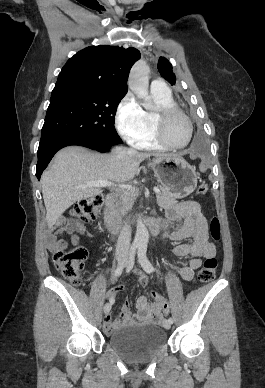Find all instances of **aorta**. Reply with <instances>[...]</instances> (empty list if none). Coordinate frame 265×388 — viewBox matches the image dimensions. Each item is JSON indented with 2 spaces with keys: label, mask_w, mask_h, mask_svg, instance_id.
Here are the masks:
<instances>
[{
  "label": "aorta",
  "mask_w": 265,
  "mask_h": 388,
  "mask_svg": "<svg viewBox=\"0 0 265 388\" xmlns=\"http://www.w3.org/2000/svg\"><path fill=\"white\" fill-rule=\"evenodd\" d=\"M148 73L149 67L144 61L137 62L131 69L129 75V88L141 99L144 100L143 107L151 106V98L148 94ZM149 240L148 230L139 216L137 219V229L133 244L137 247H146Z\"/></svg>",
  "instance_id": "1"
}]
</instances>
